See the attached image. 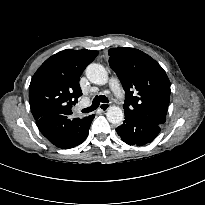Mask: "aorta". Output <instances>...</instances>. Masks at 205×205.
Masks as SVG:
<instances>
[{
	"label": "aorta",
	"mask_w": 205,
	"mask_h": 205,
	"mask_svg": "<svg viewBox=\"0 0 205 205\" xmlns=\"http://www.w3.org/2000/svg\"><path fill=\"white\" fill-rule=\"evenodd\" d=\"M86 76L91 83L104 85L108 81L106 69L97 63H91L86 68ZM107 119L112 124H121L124 120V113L120 107L110 106L106 113Z\"/></svg>",
	"instance_id": "aorta-1"
}]
</instances>
